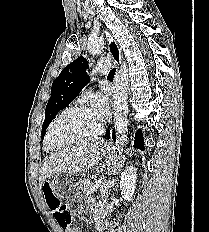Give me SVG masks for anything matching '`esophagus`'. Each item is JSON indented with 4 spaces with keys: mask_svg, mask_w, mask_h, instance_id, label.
<instances>
[{
    "mask_svg": "<svg viewBox=\"0 0 209 232\" xmlns=\"http://www.w3.org/2000/svg\"><path fill=\"white\" fill-rule=\"evenodd\" d=\"M105 38L107 40V46H108V51L113 58L114 62L117 65V68H119V65L121 64V52L120 49L117 45V43L113 40L111 35L107 30L103 31Z\"/></svg>",
    "mask_w": 209,
    "mask_h": 232,
    "instance_id": "esophagus-1",
    "label": "esophagus"
}]
</instances>
